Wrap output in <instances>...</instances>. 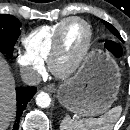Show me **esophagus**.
I'll use <instances>...</instances> for the list:
<instances>
[{
    "label": "esophagus",
    "instance_id": "obj_1",
    "mask_svg": "<svg viewBox=\"0 0 130 130\" xmlns=\"http://www.w3.org/2000/svg\"><path fill=\"white\" fill-rule=\"evenodd\" d=\"M44 90L48 92H54L56 88L53 84H49V85L44 86Z\"/></svg>",
    "mask_w": 130,
    "mask_h": 130
}]
</instances>
